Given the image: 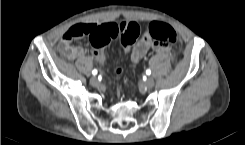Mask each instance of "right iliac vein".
<instances>
[{
    "instance_id": "1",
    "label": "right iliac vein",
    "mask_w": 245,
    "mask_h": 145,
    "mask_svg": "<svg viewBox=\"0 0 245 145\" xmlns=\"http://www.w3.org/2000/svg\"><path fill=\"white\" fill-rule=\"evenodd\" d=\"M90 83H91V85H93V86H98V85H99V80L97 79V77H92V78L90 79Z\"/></svg>"
}]
</instances>
